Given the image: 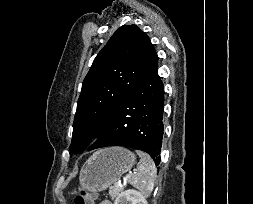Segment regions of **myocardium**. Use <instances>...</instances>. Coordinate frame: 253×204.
<instances>
[{
	"label": "myocardium",
	"instance_id": "f54148a6",
	"mask_svg": "<svg viewBox=\"0 0 253 204\" xmlns=\"http://www.w3.org/2000/svg\"><path fill=\"white\" fill-rule=\"evenodd\" d=\"M94 139V135H90L88 138H86L85 143H89Z\"/></svg>",
	"mask_w": 253,
	"mask_h": 204
}]
</instances>
